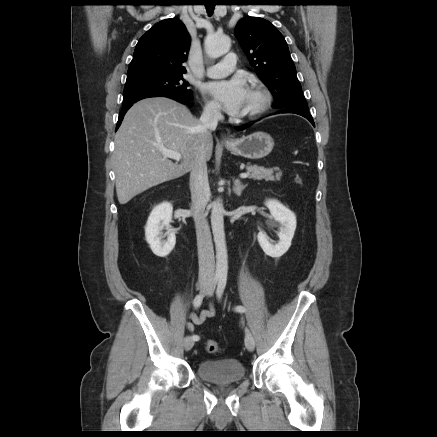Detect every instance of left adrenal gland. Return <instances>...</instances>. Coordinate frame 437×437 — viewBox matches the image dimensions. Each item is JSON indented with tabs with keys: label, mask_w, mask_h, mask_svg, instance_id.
<instances>
[{
	"label": "left adrenal gland",
	"mask_w": 437,
	"mask_h": 437,
	"mask_svg": "<svg viewBox=\"0 0 437 437\" xmlns=\"http://www.w3.org/2000/svg\"><path fill=\"white\" fill-rule=\"evenodd\" d=\"M233 191L237 196H241L242 191L247 187V184L243 185L239 179H236L233 183Z\"/></svg>",
	"instance_id": "a2214340"
}]
</instances>
